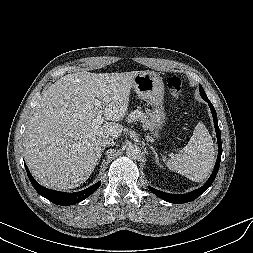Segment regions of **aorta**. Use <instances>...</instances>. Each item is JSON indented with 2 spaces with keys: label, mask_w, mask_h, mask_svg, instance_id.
Returning a JSON list of instances; mask_svg holds the SVG:
<instances>
[{
  "label": "aorta",
  "mask_w": 253,
  "mask_h": 253,
  "mask_svg": "<svg viewBox=\"0 0 253 253\" xmlns=\"http://www.w3.org/2000/svg\"><path fill=\"white\" fill-rule=\"evenodd\" d=\"M141 150L136 145H130L126 149V155L131 159H138L140 157Z\"/></svg>",
  "instance_id": "1"
}]
</instances>
